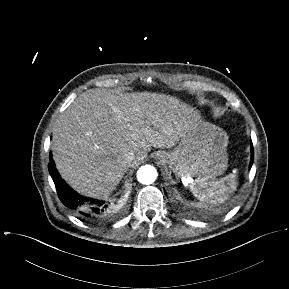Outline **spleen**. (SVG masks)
Returning a JSON list of instances; mask_svg holds the SVG:
<instances>
[{
  "label": "spleen",
  "instance_id": "spleen-1",
  "mask_svg": "<svg viewBox=\"0 0 289 289\" xmlns=\"http://www.w3.org/2000/svg\"><path fill=\"white\" fill-rule=\"evenodd\" d=\"M237 175L230 173L220 180L207 181L203 178L198 179L197 183L190 186L195 197L201 202L210 204L224 203L229 195L237 189Z\"/></svg>",
  "mask_w": 289,
  "mask_h": 289
}]
</instances>
